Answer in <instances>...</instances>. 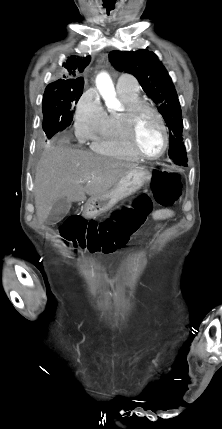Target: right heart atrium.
<instances>
[{
  "instance_id": "obj_1",
  "label": "right heart atrium",
  "mask_w": 222,
  "mask_h": 429,
  "mask_svg": "<svg viewBox=\"0 0 222 429\" xmlns=\"http://www.w3.org/2000/svg\"><path fill=\"white\" fill-rule=\"evenodd\" d=\"M106 112L93 91H86L76 104L74 112L75 133L79 141L93 140L104 126Z\"/></svg>"
}]
</instances>
